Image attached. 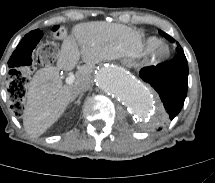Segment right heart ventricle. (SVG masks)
<instances>
[{"label":"right heart ventricle","instance_id":"e07e8e85","mask_svg":"<svg viewBox=\"0 0 215 183\" xmlns=\"http://www.w3.org/2000/svg\"><path fill=\"white\" fill-rule=\"evenodd\" d=\"M160 43H161L160 39L156 37H149L145 43V50L148 52L152 51Z\"/></svg>","mask_w":215,"mask_h":183}]
</instances>
